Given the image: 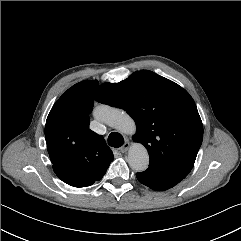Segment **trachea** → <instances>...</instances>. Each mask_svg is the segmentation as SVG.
<instances>
[{
    "mask_svg": "<svg viewBox=\"0 0 241 241\" xmlns=\"http://www.w3.org/2000/svg\"><path fill=\"white\" fill-rule=\"evenodd\" d=\"M108 144L112 147H121L124 144V138L120 133L112 132L108 136Z\"/></svg>",
    "mask_w": 241,
    "mask_h": 241,
    "instance_id": "obj_1",
    "label": "trachea"
}]
</instances>
